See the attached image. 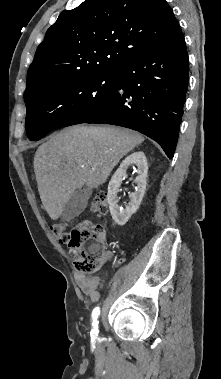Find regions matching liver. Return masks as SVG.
Here are the masks:
<instances>
[{"label": "liver", "mask_w": 221, "mask_h": 379, "mask_svg": "<svg viewBox=\"0 0 221 379\" xmlns=\"http://www.w3.org/2000/svg\"><path fill=\"white\" fill-rule=\"evenodd\" d=\"M144 141L132 130L106 126L66 128L40 145L34 172L42 204L56 220L73 192L106 182L121 158Z\"/></svg>", "instance_id": "liver-1"}]
</instances>
